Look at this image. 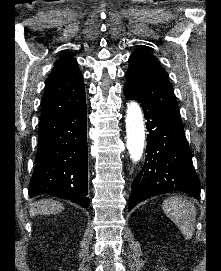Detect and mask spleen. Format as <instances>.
<instances>
[{
	"label": "spleen",
	"instance_id": "3e777b00",
	"mask_svg": "<svg viewBox=\"0 0 221 271\" xmlns=\"http://www.w3.org/2000/svg\"><path fill=\"white\" fill-rule=\"evenodd\" d=\"M164 213L176 223L185 239H191L195 231L196 207L193 201L185 197H168L163 201Z\"/></svg>",
	"mask_w": 221,
	"mask_h": 271
}]
</instances>
